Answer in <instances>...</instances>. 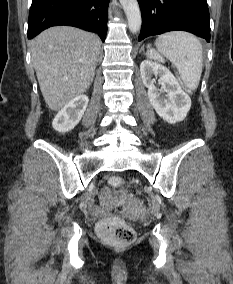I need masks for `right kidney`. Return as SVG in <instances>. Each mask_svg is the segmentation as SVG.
Instances as JSON below:
<instances>
[{"label":"right kidney","mask_w":233,"mask_h":284,"mask_svg":"<svg viewBox=\"0 0 233 284\" xmlns=\"http://www.w3.org/2000/svg\"><path fill=\"white\" fill-rule=\"evenodd\" d=\"M88 101L89 98L86 95H79L72 99L54 118L53 128L60 133L71 131L84 115Z\"/></svg>","instance_id":"right-kidney-1"}]
</instances>
